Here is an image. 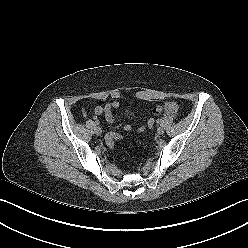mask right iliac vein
<instances>
[{"label":"right iliac vein","mask_w":248,"mask_h":248,"mask_svg":"<svg viewBox=\"0 0 248 248\" xmlns=\"http://www.w3.org/2000/svg\"><path fill=\"white\" fill-rule=\"evenodd\" d=\"M95 133H96L97 135H101V134H102V129H101L100 127H96V128H95Z\"/></svg>","instance_id":"right-iliac-vein-1"}]
</instances>
